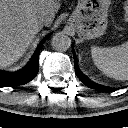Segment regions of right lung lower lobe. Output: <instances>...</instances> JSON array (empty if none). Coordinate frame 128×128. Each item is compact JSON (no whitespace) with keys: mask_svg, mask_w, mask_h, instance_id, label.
<instances>
[{"mask_svg":"<svg viewBox=\"0 0 128 128\" xmlns=\"http://www.w3.org/2000/svg\"><path fill=\"white\" fill-rule=\"evenodd\" d=\"M47 38L48 37L44 38L40 42L35 54L33 55V57L31 58L30 62L26 67L16 72L0 71V86L14 87L18 85H23L31 81L37 75L39 69L38 60H39L40 49L42 44Z\"/></svg>","mask_w":128,"mask_h":128,"instance_id":"98d812e1","label":"right lung lower lobe"}]
</instances>
